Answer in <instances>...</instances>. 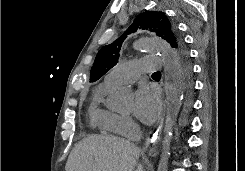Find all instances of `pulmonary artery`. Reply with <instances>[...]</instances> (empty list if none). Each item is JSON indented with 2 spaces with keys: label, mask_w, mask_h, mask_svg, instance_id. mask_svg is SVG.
Returning a JSON list of instances; mask_svg holds the SVG:
<instances>
[{
  "label": "pulmonary artery",
  "mask_w": 245,
  "mask_h": 171,
  "mask_svg": "<svg viewBox=\"0 0 245 171\" xmlns=\"http://www.w3.org/2000/svg\"><path fill=\"white\" fill-rule=\"evenodd\" d=\"M162 57L149 55L132 61H128L114 67L104 78V82L110 86L134 81L140 73L153 72L161 68Z\"/></svg>",
  "instance_id": "1"
}]
</instances>
